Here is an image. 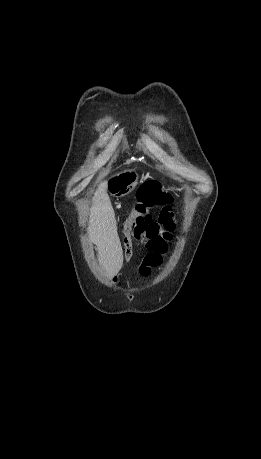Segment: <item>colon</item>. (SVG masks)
Listing matches in <instances>:
<instances>
[{
    "label": "colon",
    "instance_id": "5ec220e1",
    "mask_svg": "<svg viewBox=\"0 0 261 459\" xmlns=\"http://www.w3.org/2000/svg\"><path fill=\"white\" fill-rule=\"evenodd\" d=\"M174 198L169 189L158 181L145 182L137 193L133 214L127 222L120 225L124 258L130 261L133 258L135 234L138 238H159L160 234H173L179 225L172 219L170 205ZM161 207L159 218H153L150 210Z\"/></svg>",
    "mask_w": 261,
    "mask_h": 459
}]
</instances>
